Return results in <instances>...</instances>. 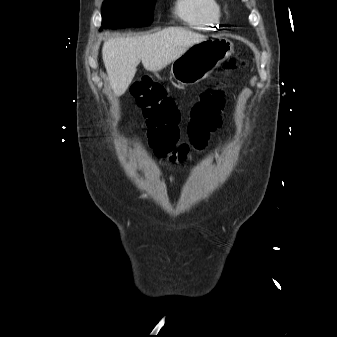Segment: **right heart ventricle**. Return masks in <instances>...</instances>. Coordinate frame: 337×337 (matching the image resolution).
I'll return each mask as SVG.
<instances>
[{"mask_svg": "<svg viewBox=\"0 0 337 337\" xmlns=\"http://www.w3.org/2000/svg\"><path fill=\"white\" fill-rule=\"evenodd\" d=\"M174 11L187 25L204 31L218 28L223 20L219 0H176Z\"/></svg>", "mask_w": 337, "mask_h": 337, "instance_id": "e07e8e85", "label": "right heart ventricle"}]
</instances>
